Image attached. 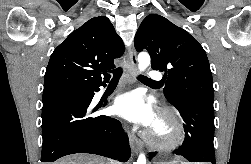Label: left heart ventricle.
Instances as JSON below:
<instances>
[{
	"label": "left heart ventricle",
	"mask_w": 251,
	"mask_h": 164,
	"mask_svg": "<svg viewBox=\"0 0 251 164\" xmlns=\"http://www.w3.org/2000/svg\"><path fill=\"white\" fill-rule=\"evenodd\" d=\"M154 129H155L157 136L160 138L165 137L167 134V129H166L165 125H163L161 122H157Z\"/></svg>",
	"instance_id": "1"
}]
</instances>
